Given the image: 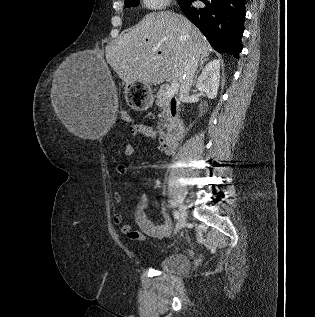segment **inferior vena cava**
I'll return each instance as SVG.
<instances>
[{"instance_id": "obj_1", "label": "inferior vena cava", "mask_w": 315, "mask_h": 317, "mask_svg": "<svg viewBox=\"0 0 315 317\" xmlns=\"http://www.w3.org/2000/svg\"><path fill=\"white\" fill-rule=\"evenodd\" d=\"M198 60L193 58L188 61L186 73L181 78V86L179 91V99L183 101L187 98L190 88L193 84L194 74L197 70Z\"/></svg>"}]
</instances>
